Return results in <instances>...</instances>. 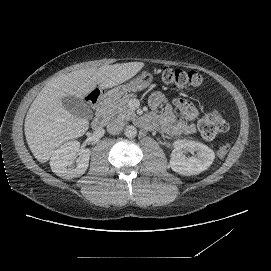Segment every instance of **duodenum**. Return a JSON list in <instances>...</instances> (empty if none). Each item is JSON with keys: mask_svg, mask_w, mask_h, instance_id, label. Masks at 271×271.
Returning <instances> with one entry per match:
<instances>
[{"mask_svg": "<svg viewBox=\"0 0 271 271\" xmlns=\"http://www.w3.org/2000/svg\"><path fill=\"white\" fill-rule=\"evenodd\" d=\"M111 104L112 96L106 95L101 97L93 123L94 128H101L109 123L111 119Z\"/></svg>", "mask_w": 271, "mask_h": 271, "instance_id": "410a0bca", "label": "duodenum"}]
</instances>
